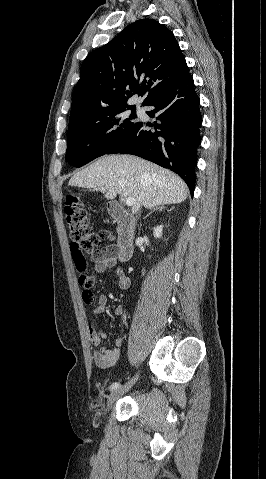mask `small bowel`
I'll use <instances>...</instances> for the list:
<instances>
[{"label": "small bowel", "instance_id": "obj_1", "mask_svg": "<svg viewBox=\"0 0 266 479\" xmlns=\"http://www.w3.org/2000/svg\"><path fill=\"white\" fill-rule=\"evenodd\" d=\"M109 268H116V283L120 290H126L130 286V278L123 272L121 267L118 265L117 259L114 256V251L107 247L100 251L96 258L93 267L94 273H100ZM107 306V296L101 294L98 297L97 303L94 306V314L98 315L104 312ZM114 314L117 317H124L125 311L124 308L119 305L115 308ZM90 342L93 346L92 358L95 365L101 369H107L114 366L121 356V349L123 346L124 339L123 337H118L114 341V348L106 349L99 348L102 340L107 338V333L99 328L98 323L95 319L91 320L88 326Z\"/></svg>", "mask_w": 266, "mask_h": 479}]
</instances>
